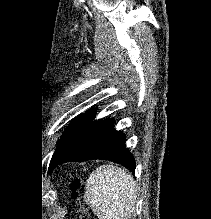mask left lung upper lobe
Returning a JSON list of instances; mask_svg holds the SVG:
<instances>
[{"instance_id": "left-lung-upper-lobe-1", "label": "left lung upper lobe", "mask_w": 211, "mask_h": 219, "mask_svg": "<svg viewBox=\"0 0 211 219\" xmlns=\"http://www.w3.org/2000/svg\"><path fill=\"white\" fill-rule=\"evenodd\" d=\"M81 116L77 117L71 124L70 126L68 127L67 131L63 134V136L61 137L58 145L60 144V142L62 141V139L64 138L65 134L68 132V130L76 123V121L80 118Z\"/></svg>"}]
</instances>
